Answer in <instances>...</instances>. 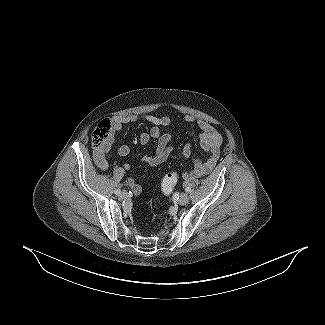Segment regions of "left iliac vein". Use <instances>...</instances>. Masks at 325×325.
Instances as JSON below:
<instances>
[{
    "instance_id": "left-iliac-vein-1",
    "label": "left iliac vein",
    "mask_w": 325,
    "mask_h": 325,
    "mask_svg": "<svg viewBox=\"0 0 325 325\" xmlns=\"http://www.w3.org/2000/svg\"><path fill=\"white\" fill-rule=\"evenodd\" d=\"M189 202V196L186 193H182L178 199L180 205H186Z\"/></svg>"
}]
</instances>
